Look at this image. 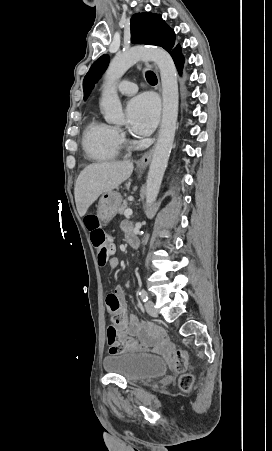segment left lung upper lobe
Listing matches in <instances>:
<instances>
[{"label": "left lung upper lobe", "instance_id": "left-lung-upper-lobe-1", "mask_svg": "<svg viewBox=\"0 0 272 451\" xmlns=\"http://www.w3.org/2000/svg\"><path fill=\"white\" fill-rule=\"evenodd\" d=\"M131 41L132 43L160 46L171 53L175 47V33L160 14L136 13L131 18ZM108 63L109 56L102 55L90 67L83 81L84 100L89 96Z\"/></svg>", "mask_w": 272, "mask_h": 451}]
</instances>
